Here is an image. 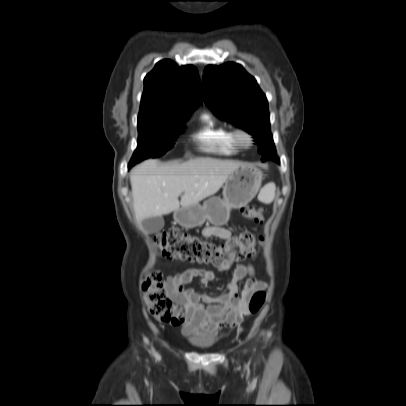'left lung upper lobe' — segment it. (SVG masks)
<instances>
[{
    "label": "left lung upper lobe",
    "instance_id": "left-lung-upper-lobe-1",
    "mask_svg": "<svg viewBox=\"0 0 406 406\" xmlns=\"http://www.w3.org/2000/svg\"><path fill=\"white\" fill-rule=\"evenodd\" d=\"M202 95L217 117L254 135L263 161H279L270 132L267 99L256 80L242 66L235 63L207 66L203 73Z\"/></svg>",
    "mask_w": 406,
    "mask_h": 406
}]
</instances>
